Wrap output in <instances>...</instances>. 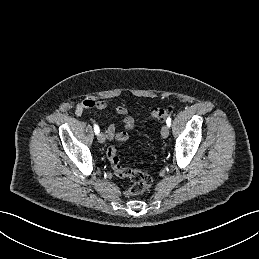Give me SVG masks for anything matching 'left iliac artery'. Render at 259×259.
<instances>
[{
    "label": "left iliac artery",
    "instance_id": "left-iliac-artery-1",
    "mask_svg": "<svg viewBox=\"0 0 259 259\" xmlns=\"http://www.w3.org/2000/svg\"><path fill=\"white\" fill-rule=\"evenodd\" d=\"M166 124H167V126H169L170 127V125H171V118L169 117V118H167V120H166Z\"/></svg>",
    "mask_w": 259,
    "mask_h": 259
}]
</instances>
